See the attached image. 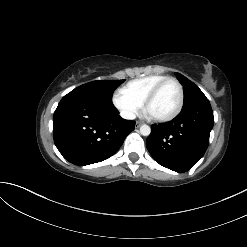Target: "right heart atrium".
I'll return each instance as SVG.
<instances>
[{
    "label": "right heart atrium",
    "mask_w": 247,
    "mask_h": 247,
    "mask_svg": "<svg viewBox=\"0 0 247 247\" xmlns=\"http://www.w3.org/2000/svg\"><path fill=\"white\" fill-rule=\"evenodd\" d=\"M112 103L126 119H133L141 109V103L131 98L122 90L116 91L113 94Z\"/></svg>",
    "instance_id": "obj_1"
}]
</instances>
